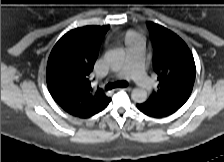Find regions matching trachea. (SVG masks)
<instances>
[{
  "instance_id": "obj_1",
  "label": "trachea",
  "mask_w": 224,
  "mask_h": 162,
  "mask_svg": "<svg viewBox=\"0 0 224 162\" xmlns=\"http://www.w3.org/2000/svg\"><path fill=\"white\" fill-rule=\"evenodd\" d=\"M127 85H128V83L126 81H118V82H115V83H108L106 85V89L111 90V89L116 88V87H126Z\"/></svg>"
}]
</instances>
